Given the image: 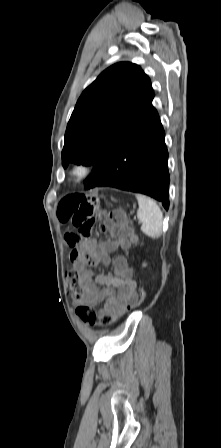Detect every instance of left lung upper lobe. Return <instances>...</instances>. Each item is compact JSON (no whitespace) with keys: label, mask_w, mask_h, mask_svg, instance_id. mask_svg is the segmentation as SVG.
<instances>
[{"label":"left lung upper lobe","mask_w":221,"mask_h":448,"mask_svg":"<svg viewBox=\"0 0 221 448\" xmlns=\"http://www.w3.org/2000/svg\"><path fill=\"white\" fill-rule=\"evenodd\" d=\"M149 77L133 63L103 71L77 101L65 132L62 165L100 168L153 109Z\"/></svg>","instance_id":"left-lung-upper-lobe-1"}]
</instances>
